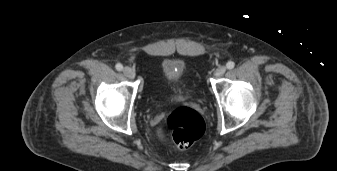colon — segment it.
<instances>
[{
    "instance_id": "5ec220e1",
    "label": "colon",
    "mask_w": 337,
    "mask_h": 171,
    "mask_svg": "<svg viewBox=\"0 0 337 171\" xmlns=\"http://www.w3.org/2000/svg\"><path fill=\"white\" fill-rule=\"evenodd\" d=\"M166 129L172 135L176 146L179 149H185L203 136L205 122L195 110L181 107L167 117Z\"/></svg>"
}]
</instances>
